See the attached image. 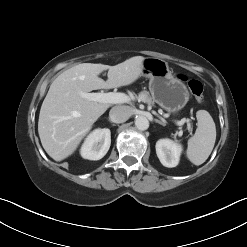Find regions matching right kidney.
Instances as JSON below:
<instances>
[{"instance_id": "right-kidney-1", "label": "right kidney", "mask_w": 247, "mask_h": 247, "mask_svg": "<svg viewBox=\"0 0 247 247\" xmlns=\"http://www.w3.org/2000/svg\"><path fill=\"white\" fill-rule=\"evenodd\" d=\"M111 144V132L108 128L92 131L85 139L80 154L84 159L100 160L108 152Z\"/></svg>"}]
</instances>
